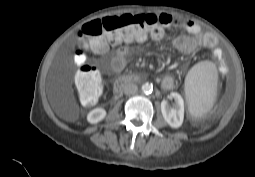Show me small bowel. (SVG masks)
Returning a JSON list of instances; mask_svg holds the SVG:
<instances>
[{"label": "small bowel", "mask_w": 255, "mask_h": 177, "mask_svg": "<svg viewBox=\"0 0 255 177\" xmlns=\"http://www.w3.org/2000/svg\"><path fill=\"white\" fill-rule=\"evenodd\" d=\"M167 21V26H174L185 30L191 36H178L173 40V47L183 53H192L201 47L213 48L217 44V39L214 35L203 33L201 26L192 20L173 17L169 14H162ZM162 34L159 36L161 37ZM147 36L137 40L138 42L145 41ZM99 52V51H97ZM129 47L127 45L119 46L111 60V69L115 73L121 72L126 64L129 55ZM161 86L164 90H170L174 87V80L170 76H165L161 81Z\"/></svg>", "instance_id": "1"}]
</instances>
